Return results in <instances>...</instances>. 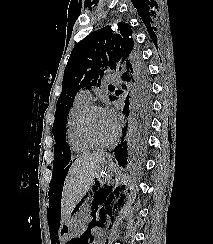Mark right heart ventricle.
I'll return each mask as SVG.
<instances>
[{"instance_id":"e07e8e85","label":"right heart ventricle","mask_w":213,"mask_h":244,"mask_svg":"<svg viewBox=\"0 0 213 244\" xmlns=\"http://www.w3.org/2000/svg\"><path fill=\"white\" fill-rule=\"evenodd\" d=\"M91 101L75 98L66 121V139L70 148L76 153H86L94 149V145L88 142L81 131V121L85 110L90 106Z\"/></svg>"}]
</instances>
